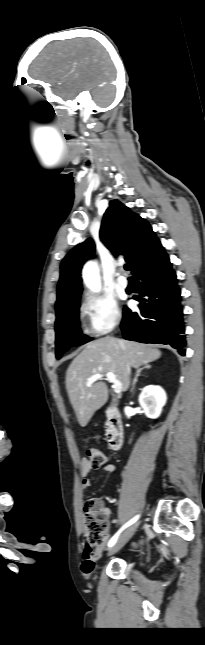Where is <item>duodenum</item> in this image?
<instances>
[{
    "mask_svg": "<svg viewBox=\"0 0 205 645\" xmlns=\"http://www.w3.org/2000/svg\"><path fill=\"white\" fill-rule=\"evenodd\" d=\"M107 413V443L111 450L117 451L124 441V430L121 415L115 407H108Z\"/></svg>",
    "mask_w": 205,
    "mask_h": 645,
    "instance_id": "1",
    "label": "duodenum"
}]
</instances>
